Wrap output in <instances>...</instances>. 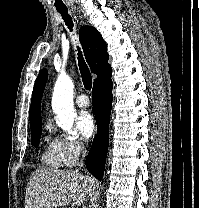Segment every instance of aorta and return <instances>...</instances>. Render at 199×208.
Masks as SVG:
<instances>
[{
    "mask_svg": "<svg viewBox=\"0 0 199 208\" xmlns=\"http://www.w3.org/2000/svg\"><path fill=\"white\" fill-rule=\"evenodd\" d=\"M74 85L70 77H58L52 96V109L56 113L58 126L69 134H74L72 127L76 113L73 108ZM97 205L95 206V208Z\"/></svg>",
    "mask_w": 199,
    "mask_h": 208,
    "instance_id": "aorta-1",
    "label": "aorta"
}]
</instances>
